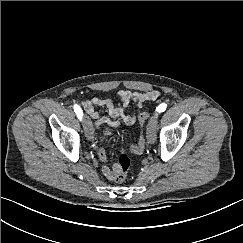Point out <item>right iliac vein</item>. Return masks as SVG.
Returning <instances> with one entry per match:
<instances>
[{
  "instance_id": "1",
  "label": "right iliac vein",
  "mask_w": 243,
  "mask_h": 243,
  "mask_svg": "<svg viewBox=\"0 0 243 243\" xmlns=\"http://www.w3.org/2000/svg\"><path fill=\"white\" fill-rule=\"evenodd\" d=\"M83 129L85 132V136L89 141H93V133H94V129H93V125L92 122L90 120V118L88 116H84L83 117Z\"/></svg>"
}]
</instances>
